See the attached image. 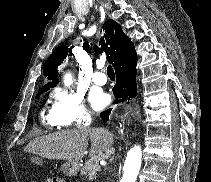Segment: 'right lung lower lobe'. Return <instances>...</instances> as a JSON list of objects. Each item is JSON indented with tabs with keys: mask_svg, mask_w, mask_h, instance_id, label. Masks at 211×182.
<instances>
[{
	"mask_svg": "<svg viewBox=\"0 0 211 182\" xmlns=\"http://www.w3.org/2000/svg\"><path fill=\"white\" fill-rule=\"evenodd\" d=\"M136 64L137 56L133 43L128 41L125 46L124 52L118 58L116 62L115 73H116V84L113 86V94L116 98L114 103L124 102L130 100L137 95L136 85ZM111 109L103 111L100 117L103 121H108Z\"/></svg>",
	"mask_w": 211,
	"mask_h": 182,
	"instance_id": "right-lung-lower-lobe-1",
	"label": "right lung lower lobe"
}]
</instances>
